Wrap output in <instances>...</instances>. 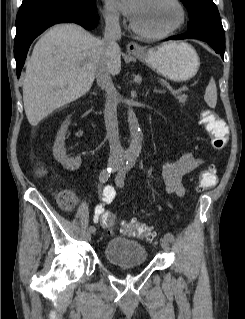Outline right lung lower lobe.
Returning <instances> with one entry per match:
<instances>
[{
    "label": "right lung lower lobe",
    "mask_w": 245,
    "mask_h": 319,
    "mask_svg": "<svg viewBox=\"0 0 245 319\" xmlns=\"http://www.w3.org/2000/svg\"><path fill=\"white\" fill-rule=\"evenodd\" d=\"M98 20L95 1L88 7L52 4L29 10H19L16 18L14 44L17 77L20 76L30 44L45 29L62 22H74L86 29H93Z\"/></svg>",
    "instance_id": "right-lung-lower-lobe-1"
}]
</instances>
